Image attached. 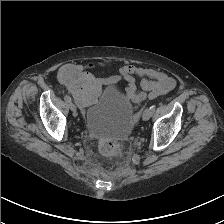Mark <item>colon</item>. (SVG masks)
<instances>
[{"mask_svg": "<svg viewBox=\"0 0 224 224\" xmlns=\"http://www.w3.org/2000/svg\"><path fill=\"white\" fill-rule=\"evenodd\" d=\"M68 90L80 105L92 104L98 95L97 88L93 85L90 73L82 68L68 66L61 72ZM98 149L105 156H117L122 152V145L115 139H102L98 143Z\"/></svg>", "mask_w": 224, "mask_h": 224, "instance_id": "obj_1", "label": "colon"}]
</instances>
